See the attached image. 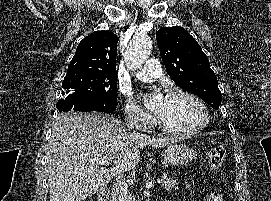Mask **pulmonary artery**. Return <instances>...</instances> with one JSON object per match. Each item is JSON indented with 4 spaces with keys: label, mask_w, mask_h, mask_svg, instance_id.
Listing matches in <instances>:
<instances>
[{
    "label": "pulmonary artery",
    "mask_w": 271,
    "mask_h": 201,
    "mask_svg": "<svg viewBox=\"0 0 271 201\" xmlns=\"http://www.w3.org/2000/svg\"><path fill=\"white\" fill-rule=\"evenodd\" d=\"M162 75L160 63L155 58H150L146 61L145 67L138 71L135 76L145 82L155 81Z\"/></svg>",
    "instance_id": "1"
}]
</instances>
